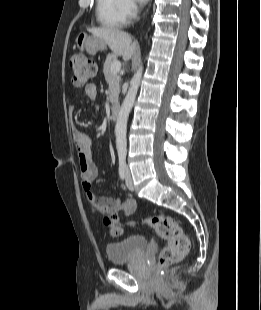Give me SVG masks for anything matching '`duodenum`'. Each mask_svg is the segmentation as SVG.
I'll return each mask as SVG.
<instances>
[{
    "label": "duodenum",
    "mask_w": 261,
    "mask_h": 310,
    "mask_svg": "<svg viewBox=\"0 0 261 310\" xmlns=\"http://www.w3.org/2000/svg\"><path fill=\"white\" fill-rule=\"evenodd\" d=\"M120 106L117 103L112 104L110 108V118L115 121L118 117Z\"/></svg>",
    "instance_id": "410a0bca"
}]
</instances>
